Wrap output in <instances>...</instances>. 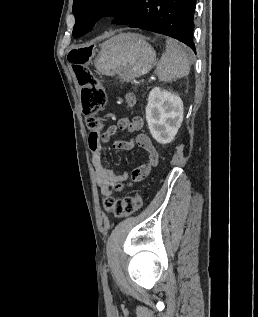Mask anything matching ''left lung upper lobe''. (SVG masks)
I'll use <instances>...</instances> for the list:
<instances>
[{
    "label": "left lung upper lobe",
    "mask_w": 258,
    "mask_h": 317,
    "mask_svg": "<svg viewBox=\"0 0 258 317\" xmlns=\"http://www.w3.org/2000/svg\"><path fill=\"white\" fill-rule=\"evenodd\" d=\"M139 0H74L75 25L73 37L77 38L92 30L101 17L115 16L114 23L127 25Z\"/></svg>",
    "instance_id": "1"
}]
</instances>
